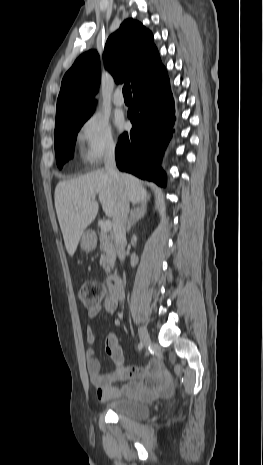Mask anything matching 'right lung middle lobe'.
Segmentation results:
<instances>
[{
	"label": "right lung middle lobe",
	"instance_id": "dd1d6c3e",
	"mask_svg": "<svg viewBox=\"0 0 263 465\" xmlns=\"http://www.w3.org/2000/svg\"><path fill=\"white\" fill-rule=\"evenodd\" d=\"M95 107L78 110L55 124V153L59 168L73 157L77 133L94 112Z\"/></svg>",
	"mask_w": 263,
	"mask_h": 465
}]
</instances>
